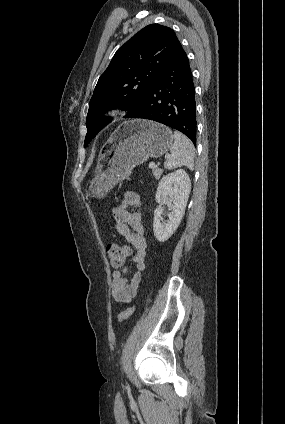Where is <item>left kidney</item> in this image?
I'll use <instances>...</instances> for the list:
<instances>
[{
  "label": "left kidney",
  "mask_w": 285,
  "mask_h": 424,
  "mask_svg": "<svg viewBox=\"0 0 285 424\" xmlns=\"http://www.w3.org/2000/svg\"><path fill=\"white\" fill-rule=\"evenodd\" d=\"M191 191L189 175L183 169H178L165 175L159 182L156 191V202L161 203L167 196L170 198L168 207L171 212L169 220L161 223L163 208L158 206L154 211L153 231L159 242L167 241L178 228L187 205Z\"/></svg>",
  "instance_id": "left-kidney-1"
}]
</instances>
